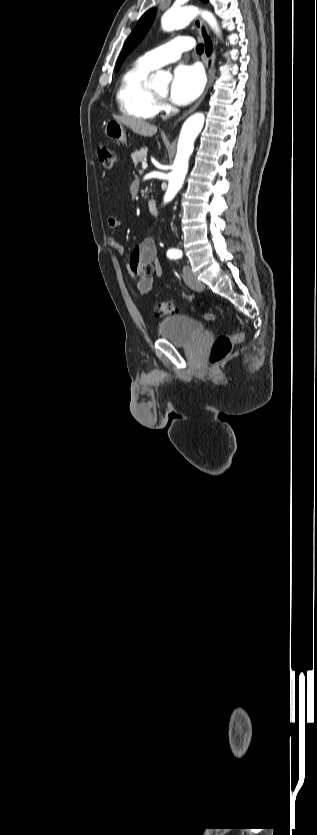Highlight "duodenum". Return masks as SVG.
Instances as JSON below:
<instances>
[{"label":"duodenum","mask_w":317,"mask_h":835,"mask_svg":"<svg viewBox=\"0 0 317 835\" xmlns=\"http://www.w3.org/2000/svg\"><path fill=\"white\" fill-rule=\"evenodd\" d=\"M147 206H148V210H149V212H150L151 214H157L158 209H157V202H156V200H153V199H152V200H150V201L148 202V205H147Z\"/></svg>","instance_id":"1"}]
</instances>
